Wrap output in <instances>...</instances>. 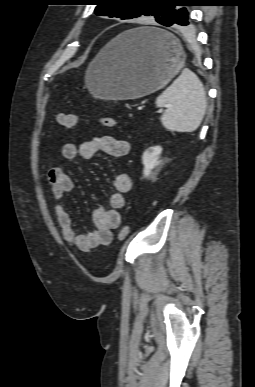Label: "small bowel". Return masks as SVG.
Returning a JSON list of instances; mask_svg holds the SVG:
<instances>
[{
	"label": "small bowel",
	"instance_id": "c3829d8e",
	"mask_svg": "<svg viewBox=\"0 0 255 387\" xmlns=\"http://www.w3.org/2000/svg\"><path fill=\"white\" fill-rule=\"evenodd\" d=\"M130 144L125 139L110 135L93 137L79 145L68 143L62 147V155L68 160L91 159L101 153L111 157L115 163L129 153ZM47 179L51 186L53 198L57 201L54 212L64 240L82 252H90L102 245L112 242V231L121 224L119 210L125 204V194L132 187V180L126 173H118L114 178V191L109 198V207H98L92 213L95 230L90 233H80L75 230L70 213L67 211L64 199L73 191L72 178L59 167L50 168Z\"/></svg>",
	"mask_w": 255,
	"mask_h": 387
}]
</instances>
